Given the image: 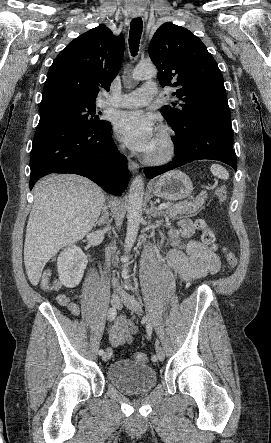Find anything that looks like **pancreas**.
I'll return each instance as SVG.
<instances>
[{
    "mask_svg": "<svg viewBox=\"0 0 271 443\" xmlns=\"http://www.w3.org/2000/svg\"><path fill=\"white\" fill-rule=\"evenodd\" d=\"M206 196H197L193 202H179V204H169L168 208H165V212H162L163 216H169V218H177V216H183V214H190V216H196L198 210H201V206L205 204Z\"/></svg>",
    "mask_w": 271,
    "mask_h": 443,
    "instance_id": "obj_1",
    "label": "pancreas"
}]
</instances>
